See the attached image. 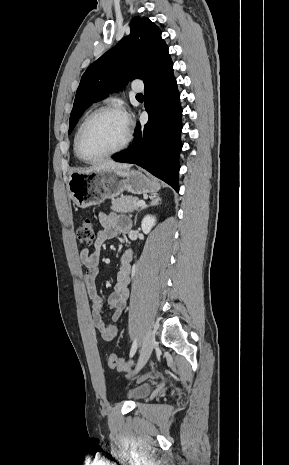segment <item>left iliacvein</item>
Wrapping results in <instances>:
<instances>
[{
    "label": "left iliac vein",
    "mask_w": 289,
    "mask_h": 465,
    "mask_svg": "<svg viewBox=\"0 0 289 465\" xmlns=\"http://www.w3.org/2000/svg\"><path fill=\"white\" fill-rule=\"evenodd\" d=\"M155 345V334L152 330H148L143 339V345L140 352L139 360L137 363L136 371H139L147 362L150 357V354Z\"/></svg>",
    "instance_id": "left-iliac-vein-1"
}]
</instances>
